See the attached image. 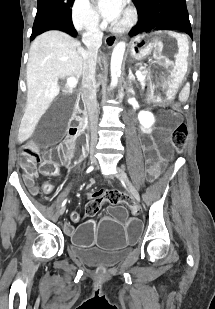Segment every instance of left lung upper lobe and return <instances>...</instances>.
<instances>
[{
	"mask_svg": "<svg viewBox=\"0 0 215 309\" xmlns=\"http://www.w3.org/2000/svg\"><path fill=\"white\" fill-rule=\"evenodd\" d=\"M138 10V24L131 36L150 29H172L193 38L185 0H133Z\"/></svg>",
	"mask_w": 215,
	"mask_h": 309,
	"instance_id": "left-lung-upper-lobe-1",
	"label": "left lung upper lobe"
}]
</instances>
